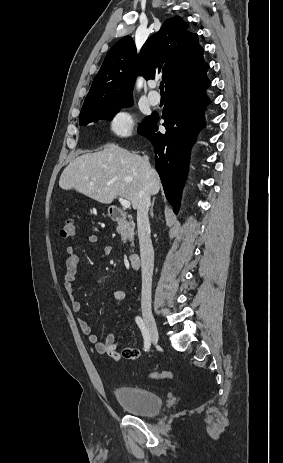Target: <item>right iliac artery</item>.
Here are the masks:
<instances>
[{
  "label": "right iliac artery",
  "mask_w": 283,
  "mask_h": 463,
  "mask_svg": "<svg viewBox=\"0 0 283 463\" xmlns=\"http://www.w3.org/2000/svg\"><path fill=\"white\" fill-rule=\"evenodd\" d=\"M135 321H136L137 325L139 326V328H140V330L142 332V335H143V338H144V347H145V349H149L150 344H151V338H150V335H149V331H148L143 319L140 316H137L135 318Z\"/></svg>",
  "instance_id": "82829eb1"
}]
</instances>
